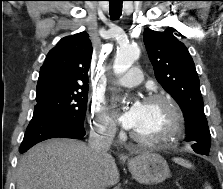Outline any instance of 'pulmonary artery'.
I'll use <instances>...</instances> for the list:
<instances>
[{"instance_id": "e3ab8cb5", "label": "pulmonary artery", "mask_w": 223, "mask_h": 189, "mask_svg": "<svg viewBox=\"0 0 223 189\" xmlns=\"http://www.w3.org/2000/svg\"><path fill=\"white\" fill-rule=\"evenodd\" d=\"M141 80L142 71L135 67L132 68L128 73L114 78L113 82L124 87H134L140 84Z\"/></svg>"}]
</instances>
